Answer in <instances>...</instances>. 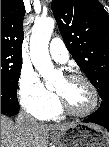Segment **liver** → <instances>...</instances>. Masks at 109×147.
Masks as SVG:
<instances>
[{"label":"liver","mask_w":109,"mask_h":147,"mask_svg":"<svg viewBox=\"0 0 109 147\" xmlns=\"http://www.w3.org/2000/svg\"><path fill=\"white\" fill-rule=\"evenodd\" d=\"M71 125L36 124L28 129H24L18 127L8 117L1 116V147H47L48 134L51 130L62 131Z\"/></svg>","instance_id":"6515ba94"}]
</instances>
